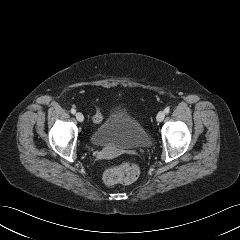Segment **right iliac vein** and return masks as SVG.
Listing matches in <instances>:
<instances>
[{
  "label": "right iliac vein",
  "mask_w": 240,
  "mask_h": 240,
  "mask_svg": "<svg viewBox=\"0 0 240 240\" xmlns=\"http://www.w3.org/2000/svg\"><path fill=\"white\" fill-rule=\"evenodd\" d=\"M75 116H76V119H77L79 122H83V121H84V116H83L82 113L77 112Z\"/></svg>",
  "instance_id": "right-iliac-vein-1"
}]
</instances>
